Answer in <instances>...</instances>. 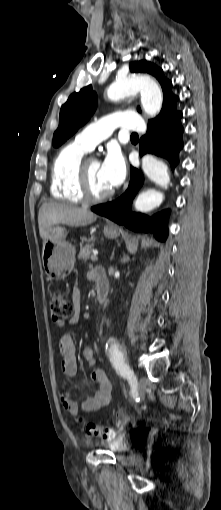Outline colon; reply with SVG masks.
<instances>
[{
  "instance_id": "colon-1",
  "label": "colon",
  "mask_w": 221,
  "mask_h": 510,
  "mask_svg": "<svg viewBox=\"0 0 221 510\" xmlns=\"http://www.w3.org/2000/svg\"><path fill=\"white\" fill-rule=\"evenodd\" d=\"M50 313L51 318L57 325H64V323L72 317L74 313V306L70 299L61 292L54 293L50 298ZM119 416L124 420L127 416L120 412ZM81 421V419H79ZM85 433L90 437L111 438L114 433L109 428H102L92 423L84 425Z\"/></svg>"
}]
</instances>
